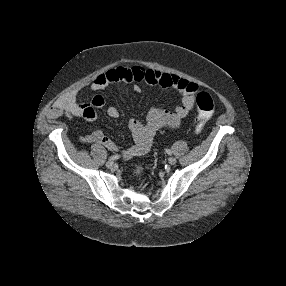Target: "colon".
<instances>
[{"label":"colon","mask_w":286,"mask_h":286,"mask_svg":"<svg viewBox=\"0 0 286 286\" xmlns=\"http://www.w3.org/2000/svg\"><path fill=\"white\" fill-rule=\"evenodd\" d=\"M196 105L199 111L197 117L196 133H200L205 123L213 115L214 103L211 96L207 92H200L196 96ZM139 167L140 166H138V168Z\"/></svg>","instance_id":"1"}]
</instances>
